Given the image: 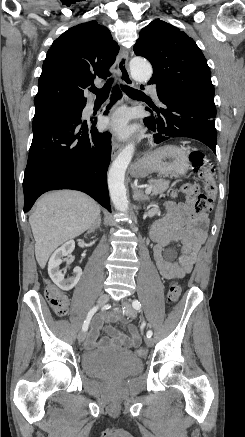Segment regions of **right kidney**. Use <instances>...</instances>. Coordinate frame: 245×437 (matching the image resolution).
<instances>
[{"label":"right kidney","instance_id":"right-kidney-1","mask_svg":"<svg viewBox=\"0 0 245 437\" xmlns=\"http://www.w3.org/2000/svg\"><path fill=\"white\" fill-rule=\"evenodd\" d=\"M75 248L74 240H69L58 248L51 256L48 263V273L52 281L63 291H69L76 286L82 275V269L75 267L73 275L65 279L60 264L64 256L70 255Z\"/></svg>","mask_w":245,"mask_h":437}]
</instances>
